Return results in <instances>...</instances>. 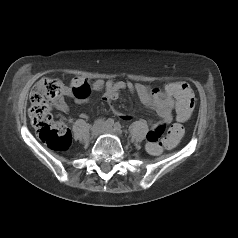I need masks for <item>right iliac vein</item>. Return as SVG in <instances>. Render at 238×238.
I'll list each match as a JSON object with an SVG mask.
<instances>
[{
  "mask_svg": "<svg viewBox=\"0 0 238 238\" xmlns=\"http://www.w3.org/2000/svg\"><path fill=\"white\" fill-rule=\"evenodd\" d=\"M104 125L101 121L96 122L91 130V136L92 138H96L97 136L100 135V133L103 131Z\"/></svg>",
  "mask_w": 238,
  "mask_h": 238,
  "instance_id": "1",
  "label": "right iliac vein"
}]
</instances>
